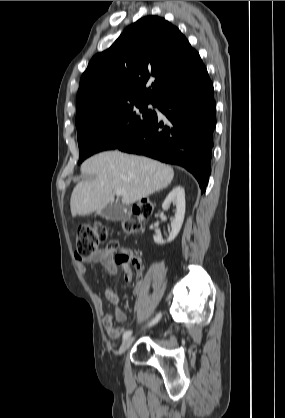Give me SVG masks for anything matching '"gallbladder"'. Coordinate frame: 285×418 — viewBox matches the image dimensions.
Here are the masks:
<instances>
[{
    "mask_svg": "<svg viewBox=\"0 0 285 418\" xmlns=\"http://www.w3.org/2000/svg\"><path fill=\"white\" fill-rule=\"evenodd\" d=\"M124 206L120 203L118 204H110L106 206L104 209L97 212L98 215L102 216L107 220L116 221L121 219L124 216Z\"/></svg>",
    "mask_w": 285,
    "mask_h": 418,
    "instance_id": "bac80fb5",
    "label": "gallbladder"
}]
</instances>
